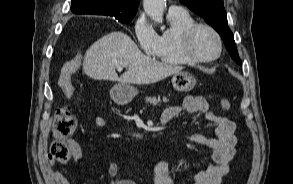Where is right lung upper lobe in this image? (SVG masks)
I'll return each instance as SVG.
<instances>
[{
	"label": "right lung upper lobe",
	"instance_id": "cb5924a9",
	"mask_svg": "<svg viewBox=\"0 0 293 184\" xmlns=\"http://www.w3.org/2000/svg\"><path fill=\"white\" fill-rule=\"evenodd\" d=\"M140 0H72L75 14L112 16L116 19L134 17Z\"/></svg>",
	"mask_w": 293,
	"mask_h": 184
}]
</instances>
